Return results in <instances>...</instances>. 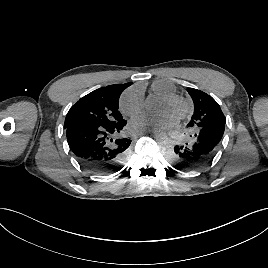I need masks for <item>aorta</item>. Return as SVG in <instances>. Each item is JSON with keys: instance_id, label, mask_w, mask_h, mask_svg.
<instances>
[{"instance_id": "1", "label": "aorta", "mask_w": 268, "mask_h": 268, "mask_svg": "<svg viewBox=\"0 0 268 268\" xmlns=\"http://www.w3.org/2000/svg\"><path fill=\"white\" fill-rule=\"evenodd\" d=\"M153 138L158 143L164 142L166 140V133L164 131L158 130L154 133Z\"/></svg>"}]
</instances>
